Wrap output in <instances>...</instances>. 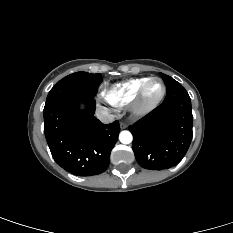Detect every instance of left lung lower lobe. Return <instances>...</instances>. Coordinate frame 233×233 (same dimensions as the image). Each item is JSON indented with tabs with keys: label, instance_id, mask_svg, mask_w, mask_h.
Segmentation results:
<instances>
[{
	"label": "left lung lower lobe",
	"instance_id": "1",
	"mask_svg": "<svg viewBox=\"0 0 233 233\" xmlns=\"http://www.w3.org/2000/svg\"><path fill=\"white\" fill-rule=\"evenodd\" d=\"M191 100L184 87L167 93L163 103L129 126L140 166L168 169L181 161L192 140Z\"/></svg>",
	"mask_w": 233,
	"mask_h": 233
}]
</instances>
